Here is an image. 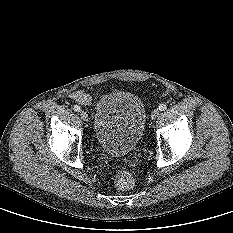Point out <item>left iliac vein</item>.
<instances>
[{
	"instance_id": "left-iliac-vein-1",
	"label": "left iliac vein",
	"mask_w": 233,
	"mask_h": 233,
	"mask_svg": "<svg viewBox=\"0 0 233 233\" xmlns=\"http://www.w3.org/2000/svg\"><path fill=\"white\" fill-rule=\"evenodd\" d=\"M160 114V110L157 108V109H154L151 113V119L154 120L156 119Z\"/></svg>"
}]
</instances>
